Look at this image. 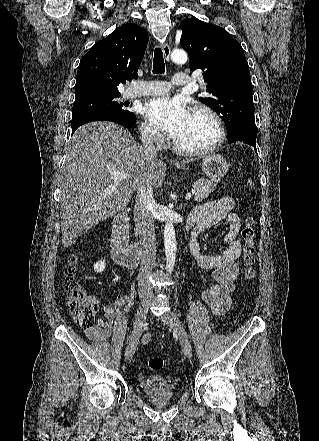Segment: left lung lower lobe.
<instances>
[{"label":"left lung lower lobe","mask_w":319,"mask_h":441,"mask_svg":"<svg viewBox=\"0 0 319 441\" xmlns=\"http://www.w3.org/2000/svg\"><path fill=\"white\" fill-rule=\"evenodd\" d=\"M256 136L257 135H255V134H251L248 132H242V133L236 134L235 136H233L231 138H228V142H229V144H231L233 142H243V143H246V144L253 146L254 149L256 150Z\"/></svg>","instance_id":"1"}]
</instances>
